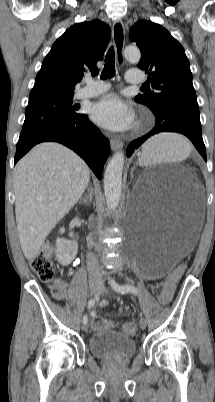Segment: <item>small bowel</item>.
<instances>
[{
    "label": "small bowel",
    "instance_id": "small-bowel-1",
    "mask_svg": "<svg viewBox=\"0 0 215 402\" xmlns=\"http://www.w3.org/2000/svg\"><path fill=\"white\" fill-rule=\"evenodd\" d=\"M57 286H59V287L61 288L62 292L64 291V289H65V287H66V285H65L64 282H59V283L57 284ZM104 303H105V302H104Z\"/></svg>",
    "mask_w": 215,
    "mask_h": 402
}]
</instances>
